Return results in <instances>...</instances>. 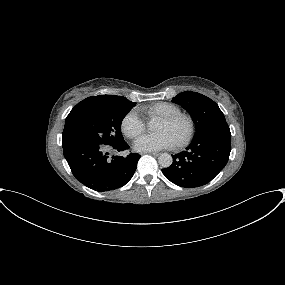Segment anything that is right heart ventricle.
I'll list each match as a JSON object with an SVG mask.
<instances>
[{"label": "right heart ventricle", "instance_id": "obj_1", "mask_svg": "<svg viewBox=\"0 0 285 285\" xmlns=\"http://www.w3.org/2000/svg\"><path fill=\"white\" fill-rule=\"evenodd\" d=\"M149 118H160L181 112V109L168 102H157L141 109Z\"/></svg>", "mask_w": 285, "mask_h": 285}]
</instances>
